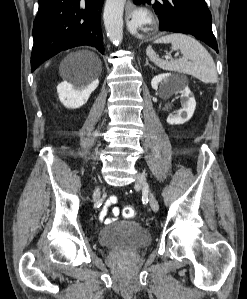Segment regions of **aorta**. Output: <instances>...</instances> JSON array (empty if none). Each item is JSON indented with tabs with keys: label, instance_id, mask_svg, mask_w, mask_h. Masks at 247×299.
<instances>
[{
	"label": "aorta",
	"instance_id": "762f6f07",
	"mask_svg": "<svg viewBox=\"0 0 247 299\" xmlns=\"http://www.w3.org/2000/svg\"><path fill=\"white\" fill-rule=\"evenodd\" d=\"M126 0H106L103 20L109 40L118 45L123 39V11Z\"/></svg>",
	"mask_w": 247,
	"mask_h": 299
}]
</instances>
